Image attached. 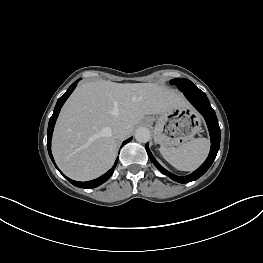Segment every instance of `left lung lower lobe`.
<instances>
[{
	"label": "left lung lower lobe",
	"mask_w": 263,
	"mask_h": 263,
	"mask_svg": "<svg viewBox=\"0 0 263 263\" xmlns=\"http://www.w3.org/2000/svg\"><path fill=\"white\" fill-rule=\"evenodd\" d=\"M183 92L184 95L187 97V99L192 103V105L203 115L207 123L211 137V150L208 155V158L192 174L185 177H180L170 173L156 161V159L153 157L152 153L149 150L148 143L146 144V151L152 163L156 166L158 170H160L161 173L170 177L172 180L176 182L188 183L197 180L209 169L214 159L216 158L217 152L219 150L221 134H220V128L216 114L212 109L206 94L200 89L183 91Z\"/></svg>",
	"instance_id": "1"
}]
</instances>
